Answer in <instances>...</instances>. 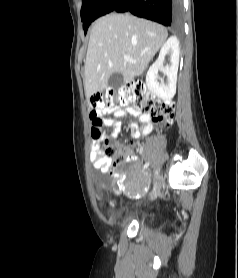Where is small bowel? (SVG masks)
Here are the masks:
<instances>
[{
	"mask_svg": "<svg viewBox=\"0 0 238 278\" xmlns=\"http://www.w3.org/2000/svg\"><path fill=\"white\" fill-rule=\"evenodd\" d=\"M129 113L137 115L138 120H139V124L136 122H131L129 125L130 129L132 131L133 138L137 139L141 135H145V134H148L151 132L152 124H151V117L149 114L135 113L131 110L129 111ZM103 114H104V118L102 119L101 128L102 127H111L113 129V132L110 135L103 137L105 139L106 143L118 146L120 148V151L123 154H126L130 160H134L135 157L127 149L122 148L120 146V144L115 140L116 132L118 131V129L121 126V123L116 118H122V117L126 116L127 113L121 109H113V110H109V111H104ZM101 138H102V136H101ZM101 138L94 139V144L92 147L90 157H91V160H92V163H93V166L95 169L100 170V171H106L111 165V160L104 155V152L102 151V149L99 146L98 141ZM122 186H123V183L119 182L118 185L116 186L115 190L117 192L122 191Z\"/></svg>",
	"mask_w": 238,
	"mask_h": 278,
	"instance_id": "obj_1",
	"label": "small bowel"
}]
</instances>
